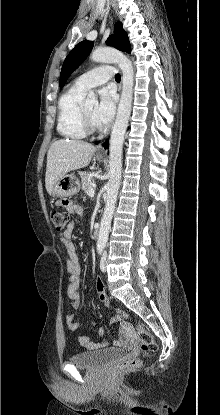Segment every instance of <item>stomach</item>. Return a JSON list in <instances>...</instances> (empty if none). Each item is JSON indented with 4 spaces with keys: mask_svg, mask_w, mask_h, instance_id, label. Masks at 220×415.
<instances>
[{
    "mask_svg": "<svg viewBox=\"0 0 220 415\" xmlns=\"http://www.w3.org/2000/svg\"><path fill=\"white\" fill-rule=\"evenodd\" d=\"M102 161L103 158L97 157ZM81 185L79 179L74 174L65 175L53 187L52 195L58 198L70 197L80 191Z\"/></svg>",
    "mask_w": 220,
    "mask_h": 415,
    "instance_id": "stomach-1",
    "label": "stomach"
}]
</instances>
